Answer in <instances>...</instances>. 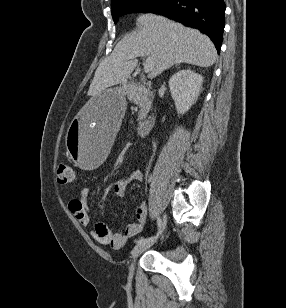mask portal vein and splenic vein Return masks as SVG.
I'll return each mask as SVG.
<instances>
[{
  "mask_svg": "<svg viewBox=\"0 0 286 308\" xmlns=\"http://www.w3.org/2000/svg\"><path fill=\"white\" fill-rule=\"evenodd\" d=\"M140 56L141 57L147 56L146 61L144 63V72L149 73L153 69L154 64H155L154 57L148 55L144 51H135V52H132L128 55V59H134V58L140 57Z\"/></svg>",
  "mask_w": 286,
  "mask_h": 308,
  "instance_id": "1",
  "label": "portal vein and splenic vein"
}]
</instances>
